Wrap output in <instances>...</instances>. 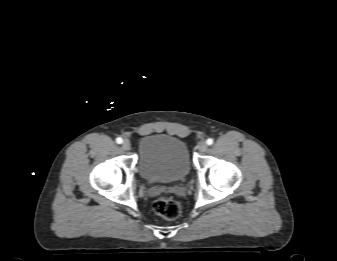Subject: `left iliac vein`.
<instances>
[{"instance_id": "4c4485c4", "label": "left iliac vein", "mask_w": 337, "mask_h": 261, "mask_svg": "<svg viewBox=\"0 0 337 261\" xmlns=\"http://www.w3.org/2000/svg\"><path fill=\"white\" fill-rule=\"evenodd\" d=\"M198 149L200 152H205L208 149L207 143L206 142H200L198 145Z\"/></svg>"}]
</instances>
